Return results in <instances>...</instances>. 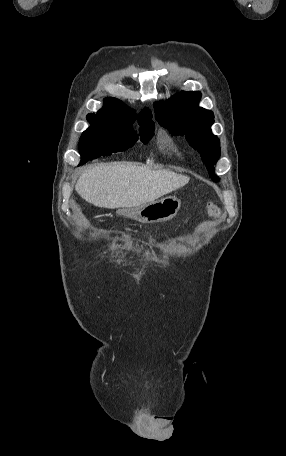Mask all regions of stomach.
<instances>
[{
  "label": "stomach",
  "mask_w": 286,
  "mask_h": 456,
  "mask_svg": "<svg viewBox=\"0 0 286 456\" xmlns=\"http://www.w3.org/2000/svg\"><path fill=\"white\" fill-rule=\"evenodd\" d=\"M181 201L169 196L138 208L139 220L145 223H159L172 219L179 211Z\"/></svg>",
  "instance_id": "1"
}]
</instances>
